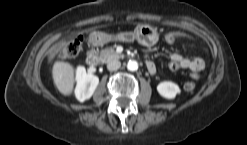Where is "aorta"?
I'll return each mask as SVG.
<instances>
[{
  "label": "aorta",
  "mask_w": 247,
  "mask_h": 145,
  "mask_svg": "<svg viewBox=\"0 0 247 145\" xmlns=\"http://www.w3.org/2000/svg\"><path fill=\"white\" fill-rule=\"evenodd\" d=\"M127 69L129 71H136L138 69V63L137 61L135 60H130L128 63H127Z\"/></svg>",
  "instance_id": "obj_1"
}]
</instances>
